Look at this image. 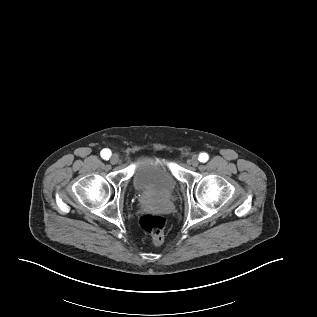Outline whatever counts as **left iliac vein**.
I'll return each mask as SVG.
<instances>
[{
	"label": "left iliac vein",
	"instance_id": "obj_1",
	"mask_svg": "<svg viewBox=\"0 0 317 317\" xmlns=\"http://www.w3.org/2000/svg\"><path fill=\"white\" fill-rule=\"evenodd\" d=\"M189 164L194 166V167H197L198 164H199V159H198V156L197 155H193L190 160H189Z\"/></svg>",
	"mask_w": 317,
	"mask_h": 317
}]
</instances>
